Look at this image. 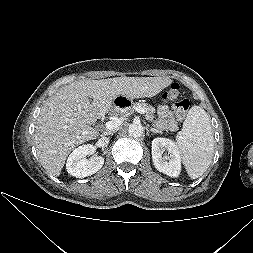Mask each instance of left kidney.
I'll use <instances>...</instances> for the list:
<instances>
[{
  "instance_id": "left-kidney-1",
  "label": "left kidney",
  "mask_w": 253,
  "mask_h": 253,
  "mask_svg": "<svg viewBox=\"0 0 253 253\" xmlns=\"http://www.w3.org/2000/svg\"><path fill=\"white\" fill-rule=\"evenodd\" d=\"M168 151V156L163 153ZM152 161L155 168L168 176L178 177L181 171V157L175 142L157 137L152 141Z\"/></svg>"
}]
</instances>
